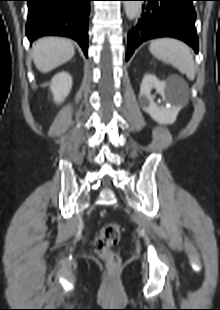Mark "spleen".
Returning <instances> with one entry per match:
<instances>
[{
    "label": "spleen",
    "mask_w": 220,
    "mask_h": 310,
    "mask_svg": "<svg viewBox=\"0 0 220 310\" xmlns=\"http://www.w3.org/2000/svg\"><path fill=\"white\" fill-rule=\"evenodd\" d=\"M149 50L157 59L172 64L189 80L195 78V65L189 47L181 41L171 38L156 39Z\"/></svg>",
    "instance_id": "obj_1"
}]
</instances>
